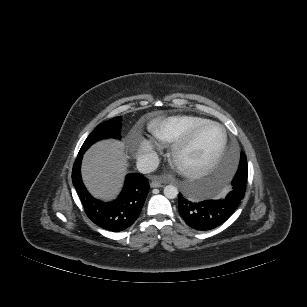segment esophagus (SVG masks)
<instances>
[{
	"mask_svg": "<svg viewBox=\"0 0 307 307\" xmlns=\"http://www.w3.org/2000/svg\"><path fill=\"white\" fill-rule=\"evenodd\" d=\"M150 186L152 188H158V187H161L162 186V183L160 181H157V180H152L150 182Z\"/></svg>",
	"mask_w": 307,
	"mask_h": 307,
	"instance_id": "obj_1",
	"label": "esophagus"
}]
</instances>
